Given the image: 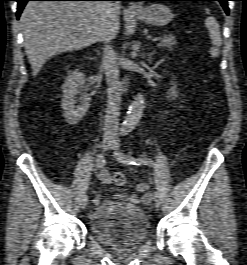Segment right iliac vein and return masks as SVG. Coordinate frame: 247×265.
<instances>
[{
    "mask_svg": "<svg viewBox=\"0 0 247 265\" xmlns=\"http://www.w3.org/2000/svg\"><path fill=\"white\" fill-rule=\"evenodd\" d=\"M114 144V140L110 137H106L103 139L102 141V146L104 150H108L110 149ZM88 204V198L87 197H83L81 200V207L85 208Z\"/></svg>",
    "mask_w": 247,
    "mask_h": 265,
    "instance_id": "right-iliac-vein-1",
    "label": "right iliac vein"
}]
</instances>
